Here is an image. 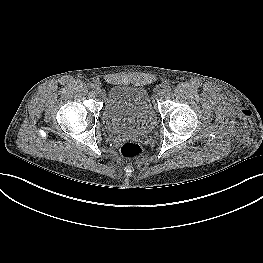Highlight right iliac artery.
<instances>
[{"mask_svg": "<svg viewBox=\"0 0 263 263\" xmlns=\"http://www.w3.org/2000/svg\"><path fill=\"white\" fill-rule=\"evenodd\" d=\"M91 88L93 90H96L98 88V85L96 83L91 84Z\"/></svg>", "mask_w": 263, "mask_h": 263, "instance_id": "1", "label": "right iliac artery"}]
</instances>
